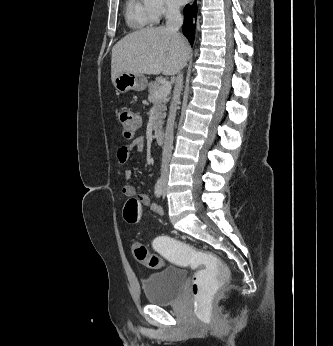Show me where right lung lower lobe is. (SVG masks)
Here are the masks:
<instances>
[{
  "label": "right lung lower lobe",
  "instance_id": "right-lung-lower-lobe-1",
  "mask_svg": "<svg viewBox=\"0 0 333 346\" xmlns=\"http://www.w3.org/2000/svg\"><path fill=\"white\" fill-rule=\"evenodd\" d=\"M197 5L196 2L193 5H186L184 8V25L182 26L183 34L189 40L190 44H193V36L195 29Z\"/></svg>",
  "mask_w": 333,
  "mask_h": 346
}]
</instances>
